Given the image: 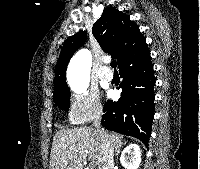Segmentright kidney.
Here are the masks:
<instances>
[{
    "label": "right kidney",
    "instance_id": "right-kidney-1",
    "mask_svg": "<svg viewBox=\"0 0 200 169\" xmlns=\"http://www.w3.org/2000/svg\"><path fill=\"white\" fill-rule=\"evenodd\" d=\"M122 166L126 169H138L141 163V150L137 144H129L120 157Z\"/></svg>",
    "mask_w": 200,
    "mask_h": 169
}]
</instances>
